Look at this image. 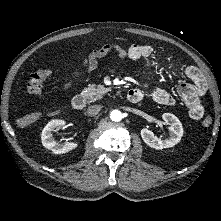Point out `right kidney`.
Listing matches in <instances>:
<instances>
[{"label":"right kidney","mask_w":221,"mask_h":221,"mask_svg":"<svg viewBox=\"0 0 221 221\" xmlns=\"http://www.w3.org/2000/svg\"><path fill=\"white\" fill-rule=\"evenodd\" d=\"M64 128L66 124L62 120H51L42 130L41 140L42 144L48 150H51L55 154L67 153L78 146V143L75 142H64L58 143L52 136V131L56 128Z\"/></svg>","instance_id":"right-kidney-1"}]
</instances>
